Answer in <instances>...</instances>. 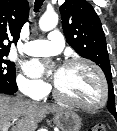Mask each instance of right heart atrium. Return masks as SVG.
<instances>
[{
	"label": "right heart atrium",
	"mask_w": 117,
	"mask_h": 131,
	"mask_svg": "<svg viewBox=\"0 0 117 131\" xmlns=\"http://www.w3.org/2000/svg\"><path fill=\"white\" fill-rule=\"evenodd\" d=\"M17 85L24 95L32 99H41L45 97L49 91V86L43 81L28 78L24 75L17 77Z\"/></svg>",
	"instance_id": "obj_1"
}]
</instances>
